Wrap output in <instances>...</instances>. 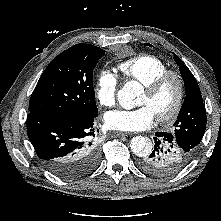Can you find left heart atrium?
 I'll use <instances>...</instances> for the list:
<instances>
[{"instance_id":"obj_1","label":"left heart atrium","mask_w":221,"mask_h":221,"mask_svg":"<svg viewBox=\"0 0 221 221\" xmlns=\"http://www.w3.org/2000/svg\"><path fill=\"white\" fill-rule=\"evenodd\" d=\"M155 114L147 105L136 109H117L105 114V124L109 129L118 131H141L153 124Z\"/></svg>"}]
</instances>
